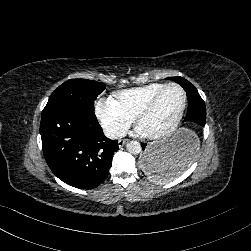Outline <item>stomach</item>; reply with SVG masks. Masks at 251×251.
<instances>
[{
  "instance_id": "obj_1",
  "label": "stomach",
  "mask_w": 251,
  "mask_h": 251,
  "mask_svg": "<svg viewBox=\"0 0 251 251\" xmlns=\"http://www.w3.org/2000/svg\"><path fill=\"white\" fill-rule=\"evenodd\" d=\"M197 135L186 128L176 130L170 137L154 142L140 159L149 178H176L188 170L196 157Z\"/></svg>"
}]
</instances>
